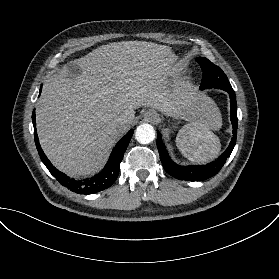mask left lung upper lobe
Returning a JSON list of instances; mask_svg holds the SVG:
<instances>
[{
  "label": "left lung upper lobe",
  "instance_id": "5c2ea615",
  "mask_svg": "<svg viewBox=\"0 0 279 279\" xmlns=\"http://www.w3.org/2000/svg\"><path fill=\"white\" fill-rule=\"evenodd\" d=\"M203 71L200 89L219 88L222 90L231 89L232 86L225 73L206 58H196Z\"/></svg>",
  "mask_w": 279,
  "mask_h": 279
}]
</instances>
